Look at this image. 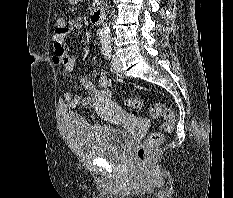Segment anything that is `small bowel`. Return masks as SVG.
Returning <instances> with one entry per match:
<instances>
[{
	"instance_id": "1",
	"label": "small bowel",
	"mask_w": 233,
	"mask_h": 198,
	"mask_svg": "<svg viewBox=\"0 0 233 198\" xmlns=\"http://www.w3.org/2000/svg\"><path fill=\"white\" fill-rule=\"evenodd\" d=\"M81 29L82 24L79 21H65L63 29L61 31H55L53 34L52 61L55 66L62 68L68 74L75 70L76 59L66 53L63 46L64 41L69 33ZM79 84L87 91L88 95L73 94L70 91L64 92V100L70 108L94 106L100 114L106 116H112L120 112L119 108L110 99L111 93L108 89V75L104 69L100 68L98 71L97 85L87 77H81Z\"/></svg>"
}]
</instances>
